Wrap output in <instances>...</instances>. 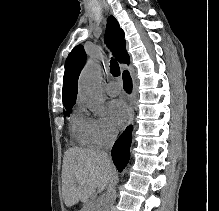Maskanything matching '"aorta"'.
<instances>
[{"label":"aorta","instance_id":"obj_1","mask_svg":"<svg viewBox=\"0 0 219 211\" xmlns=\"http://www.w3.org/2000/svg\"><path fill=\"white\" fill-rule=\"evenodd\" d=\"M99 79V67L93 61H88L79 76L78 91L81 100L89 110L97 116H102L105 114V97L101 91ZM116 197L117 188L114 186L108 189L100 199L97 211H110Z\"/></svg>","mask_w":219,"mask_h":211}]
</instances>
